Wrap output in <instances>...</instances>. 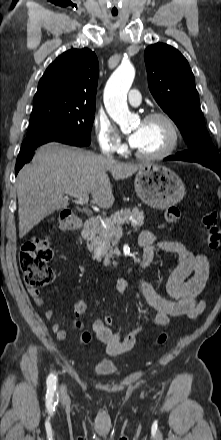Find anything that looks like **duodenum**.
Here are the masks:
<instances>
[{"label": "duodenum", "instance_id": "410a0bca", "mask_svg": "<svg viewBox=\"0 0 221 440\" xmlns=\"http://www.w3.org/2000/svg\"><path fill=\"white\" fill-rule=\"evenodd\" d=\"M98 222H99V219H98L97 217H95V216L89 218V219L85 222V224H84V227H83V230H82V236H83L84 238H86V237H88L89 235H91V234L93 233V231L95 230V228H96ZM148 264H149L148 261H143V262L141 263V266H142V267H145V266H147Z\"/></svg>", "mask_w": 221, "mask_h": 440}]
</instances>
